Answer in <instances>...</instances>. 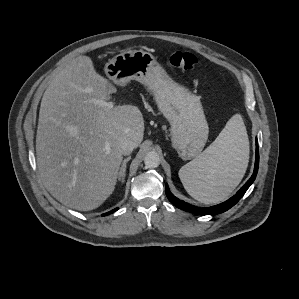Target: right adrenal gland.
<instances>
[{
	"label": "right adrenal gland",
	"instance_id": "obj_1",
	"mask_svg": "<svg viewBox=\"0 0 299 299\" xmlns=\"http://www.w3.org/2000/svg\"><path fill=\"white\" fill-rule=\"evenodd\" d=\"M131 159V157H127L123 160L122 166L120 168V171L118 173V180L121 181L122 183L125 180V175H126V164L127 162Z\"/></svg>",
	"mask_w": 299,
	"mask_h": 299
}]
</instances>
